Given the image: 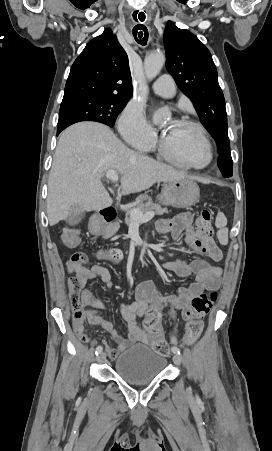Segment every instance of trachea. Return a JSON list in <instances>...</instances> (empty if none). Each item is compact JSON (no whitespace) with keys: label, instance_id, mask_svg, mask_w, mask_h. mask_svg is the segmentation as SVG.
Segmentation results:
<instances>
[{"label":"trachea","instance_id":"3493384b","mask_svg":"<svg viewBox=\"0 0 272 451\" xmlns=\"http://www.w3.org/2000/svg\"><path fill=\"white\" fill-rule=\"evenodd\" d=\"M135 20L138 21L137 19ZM140 21H144V19ZM133 36L138 43H140L141 45H146L148 40V30L146 27H144V25L139 24L133 28Z\"/></svg>","mask_w":272,"mask_h":451}]
</instances>
